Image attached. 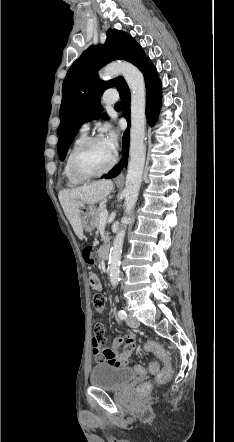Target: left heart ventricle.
<instances>
[{"label":"left heart ventricle","mask_w":234,"mask_h":442,"mask_svg":"<svg viewBox=\"0 0 234 442\" xmlns=\"http://www.w3.org/2000/svg\"><path fill=\"white\" fill-rule=\"evenodd\" d=\"M112 157L113 153L102 140L90 145L79 156L78 165L85 172L95 173L105 169L111 162Z\"/></svg>","instance_id":"obj_1"}]
</instances>
